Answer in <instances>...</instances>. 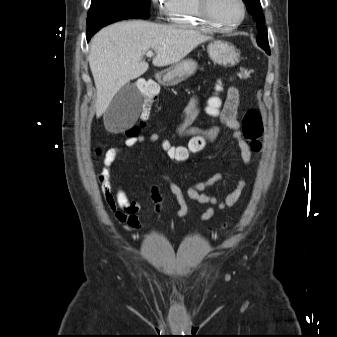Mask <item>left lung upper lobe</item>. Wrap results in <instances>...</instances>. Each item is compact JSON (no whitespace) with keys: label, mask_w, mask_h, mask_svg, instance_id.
<instances>
[{"label":"left lung upper lobe","mask_w":337,"mask_h":337,"mask_svg":"<svg viewBox=\"0 0 337 337\" xmlns=\"http://www.w3.org/2000/svg\"><path fill=\"white\" fill-rule=\"evenodd\" d=\"M247 6L248 12L253 16V18L257 21V30L259 33L257 43L263 48L266 53L270 54V48L268 44V35L267 29L264 25V17L262 14L261 4L259 0H243Z\"/></svg>","instance_id":"1"}]
</instances>
